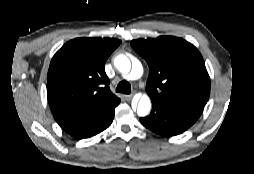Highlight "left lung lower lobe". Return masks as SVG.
<instances>
[{"label":"left lung lower lobe","instance_id":"left-lung-lower-lobe-1","mask_svg":"<svg viewBox=\"0 0 254 174\" xmlns=\"http://www.w3.org/2000/svg\"><path fill=\"white\" fill-rule=\"evenodd\" d=\"M149 116L140 118V122L153 132L163 136H175L190 128L200 117L192 112L152 101Z\"/></svg>","mask_w":254,"mask_h":174}]
</instances>
